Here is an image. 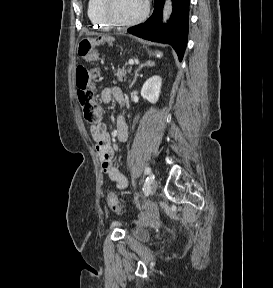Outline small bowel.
Segmentation results:
<instances>
[{
  "label": "small bowel",
  "mask_w": 273,
  "mask_h": 288,
  "mask_svg": "<svg viewBox=\"0 0 273 288\" xmlns=\"http://www.w3.org/2000/svg\"><path fill=\"white\" fill-rule=\"evenodd\" d=\"M115 99L120 103L124 99L122 90L119 87H107L101 92V100L109 103ZM91 135L96 142L102 170L106 177L119 189H125L128 186L127 178L120 172L115 162V153L111 146L110 135L104 123L98 122L90 127ZM116 136L119 141L124 142L128 136L127 125L123 118L119 117L116 122Z\"/></svg>",
  "instance_id": "small-bowel-1"
}]
</instances>
